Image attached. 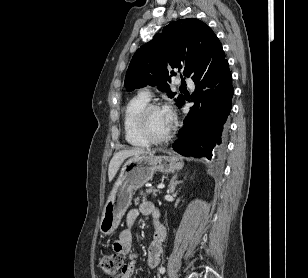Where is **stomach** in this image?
Masks as SVG:
<instances>
[{"label":"stomach","mask_w":308,"mask_h":278,"mask_svg":"<svg viewBox=\"0 0 308 278\" xmlns=\"http://www.w3.org/2000/svg\"><path fill=\"white\" fill-rule=\"evenodd\" d=\"M183 168L177 156L153 154L132 156L121 167L104 207L99 229L103 235L112 234L131 205L133 191L152 180L155 172L173 173Z\"/></svg>","instance_id":"stomach-1"}]
</instances>
